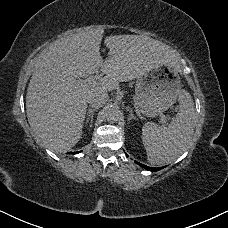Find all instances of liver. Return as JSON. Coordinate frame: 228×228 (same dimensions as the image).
Listing matches in <instances>:
<instances>
[{
	"instance_id": "1",
	"label": "liver",
	"mask_w": 228,
	"mask_h": 228,
	"mask_svg": "<svg viewBox=\"0 0 228 228\" xmlns=\"http://www.w3.org/2000/svg\"><path fill=\"white\" fill-rule=\"evenodd\" d=\"M104 31L91 29L57 40L35 62L26 94V114L37 142L56 152H66L82 136L90 92H108L158 67L178 70L179 55L170 46L143 35H111L100 44ZM100 68L106 76L96 85L82 78Z\"/></svg>"
}]
</instances>
